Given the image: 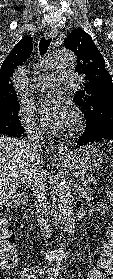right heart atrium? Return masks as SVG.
Wrapping results in <instances>:
<instances>
[{"instance_id":"right-heart-atrium-1","label":"right heart atrium","mask_w":113,"mask_h":279,"mask_svg":"<svg viewBox=\"0 0 113 279\" xmlns=\"http://www.w3.org/2000/svg\"><path fill=\"white\" fill-rule=\"evenodd\" d=\"M20 116L28 134L37 135L41 133L40 125L29 109H22Z\"/></svg>"}]
</instances>
